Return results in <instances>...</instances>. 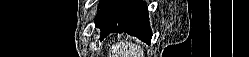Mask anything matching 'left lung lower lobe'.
<instances>
[{
    "label": "left lung lower lobe",
    "mask_w": 249,
    "mask_h": 57,
    "mask_svg": "<svg viewBox=\"0 0 249 57\" xmlns=\"http://www.w3.org/2000/svg\"><path fill=\"white\" fill-rule=\"evenodd\" d=\"M95 25L101 29L100 40L111 32H127L148 44L151 42L148 11L143 1L107 0L98 11Z\"/></svg>",
    "instance_id": "1"
}]
</instances>
